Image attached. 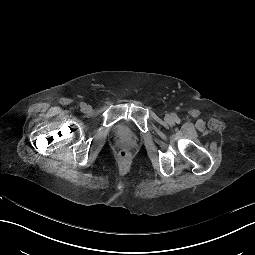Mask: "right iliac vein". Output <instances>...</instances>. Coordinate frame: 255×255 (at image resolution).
<instances>
[{"mask_svg": "<svg viewBox=\"0 0 255 255\" xmlns=\"http://www.w3.org/2000/svg\"><path fill=\"white\" fill-rule=\"evenodd\" d=\"M86 113H90L92 108L91 106H86L84 109H83Z\"/></svg>", "mask_w": 255, "mask_h": 255, "instance_id": "63e3f726", "label": "right iliac vein"}]
</instances>
